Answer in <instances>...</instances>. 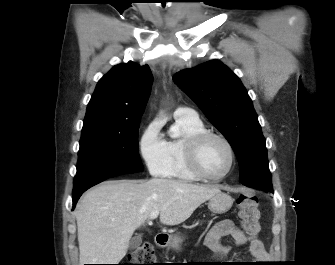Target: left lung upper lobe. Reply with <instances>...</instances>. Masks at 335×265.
Wrapping results in <instances>:
<instances>
[{
	"instance_id": "5c2ea615",
	"label": "left lung upper lobe",
	"mask_w": 335,
	"mask_h": 265,
	"mask_svg": "<svg viewBox=\"0 0 335 265\" xmlns=\"http://www.w3.org/2000/svg\"><path fill=\"white\" fill-rule=\"evenodd\" d=\"M173 80L232 146L241 183L273 192L265 138L240 79L220 61L211 60L176 73Z\"/></svg>"
}]
</instances>
